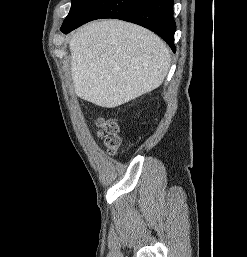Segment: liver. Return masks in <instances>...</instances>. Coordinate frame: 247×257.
Segmentation results:
<instances>
[{
  "label": "liver",
  "mask_w": 247,
  "mask_h": 257,
  "mask_svg": "<svg viewBox=\"0 0 247 257\" xmlns=\"http://www.w3.org/2000/svg\"><path fill=\"white\" fill-rule=\"evenodd\" d=\"M69 48L76 95L104 108L120 106L159 87L171 62L169 49L155 33L113 19L79 28Z\"/></svg>",
  "instance_id": "obj_1"
}]
</instances>
